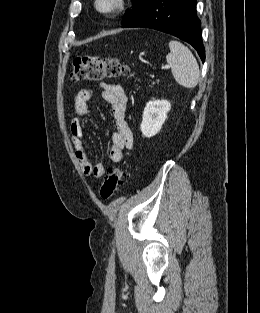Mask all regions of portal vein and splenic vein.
Wrapping results in <instances>:
<instances>
[{"label": "portal vein and splenic vein", "instance_id": "portal-vein-and-splenic-vein-1", "mask_svg": "<svg viewBox=\"0 0 260 313\" xmlns=\"http://www.w3.org/2000/svg\"><path fill=\"white\" fill-rule=\"evenodd\" d=\"M169 68V66H162V69H168Z\"/></svg>", "mask_w": 260, "mask_h": 313}]
</instances>
